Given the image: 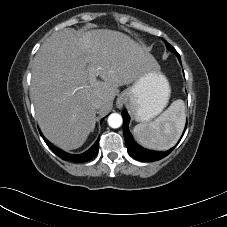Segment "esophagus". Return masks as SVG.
Returning <instances> with one entry per match:
<instances>
[{
    "mask_svg": "<svg viewBox=\"0 0 227 227\" xmlns=\"http://www.w3.org/2000/svg\"><path fill=\"white\" fill-rule=\"evenodd\" d=\"M125 103H126V98L124 96H119L116 100V107L120 109L123 107Z\"/></svg>",
    "mask_w": 227,
    "mask_h": 227,
    "instance_id": "1",
    "label": "esophagus"
}]
</instances>
